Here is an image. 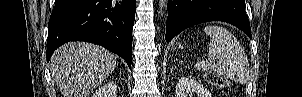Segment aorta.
I'll return each instance as SVG.
<instances>
[{"label": "aorta", "mask_w": 302, "mask_h": 97, "mask_svg": "<svg viewBox=\"0 0 302 97\" xmlns=\"http://www.w3.org/2000/svg\"><path fill=\"white\" fill-rule=\"evenodd\" d=\"M160 4H159V8H160V11L159 13L162 12V9H164L167 5V0H159ZM161 15L163 16V14L161 13Z\"/></svg>", "instance_id": "1"}]
</instances>
